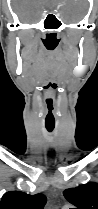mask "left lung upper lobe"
I'll list each match as a JSON object with an SVG mask.
<instances>
[{
	"mask_svg": "<svg viewBox=\"0 0 98 209\" xmlns=\"http://www.w3.org/2000/svg\"><path fill=\"white\" fill-rule=\"evenodd\" d=\"M65 198L76 209H98V184L87 183L76 188L66 189L63 192Z\"/></svg>",
	"mask_w": 98,
	"mask_h": 209,
	"instance_id": "left-lung-upper-lobe-1",
	"label": "left lung upper lobe"
}]
</instances>
